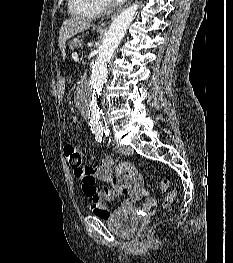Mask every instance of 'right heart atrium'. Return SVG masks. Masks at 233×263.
Returning a JSON list of instances; mask_svg holds the SVG:
<instances>
[{
  "mask_svg": "<svg viewBox=\"0 0 233 263\" xmlns=\"http://www.w3.org/2000/svg\"><path fill=\"white\" fill-rule=\"evenodd\" d=\"M101 9H105L109 6V0H98Z\"/></svg>",
  "mask_w": 233,
  "mask_h": 263,
  "instance_id": "obj_1",
  "label": "right heart atrium"
}]
</instances>
